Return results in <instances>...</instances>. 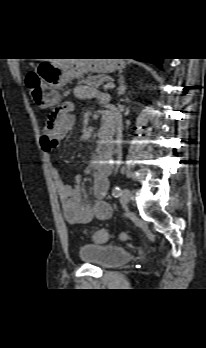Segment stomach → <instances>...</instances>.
<instances>
[{
  "mask_svg": "<svg viewBox=\"0 0 206 348\" xmlns=\"http://www.w3.org/2000/svg\"><path fill=\"white\" fill-rule=\"evenodd\" d=\"M123 67V62L118 59H69L62 62H41L36 67V73L53 90H56L89 72L107 74ZM58 100L59 95L55 91L50 95L43 89L38 97H35V102L41 109L56 105Z\"/></svg>",
  "mask_w": 206,
  "mask_h": 348,
  "instance_id": "stomach-1",
  "label": "stomach"
}]
</instances>
